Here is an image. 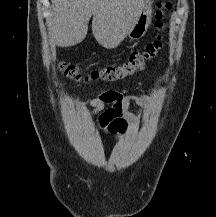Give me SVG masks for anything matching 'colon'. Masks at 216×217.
<instances>
[{
	"label": "colon",
	"instance_id": "5ec220e1",
	"mask_svg": "<svg viewBox=\"0 0 216 217\" xmlns=\"http://www.w3.org/2000/svg\"><path fill=\"white\" fill-rule=\"evenodd\" d=\"M171 3L168 0L159 1L155 13V26L158 29H163L169 17ZM163 48L162 37L158 36L153 42L149 43L144 49L132 52L129 58L118 65L107 66L90 73H82L75 65L61 61L59 63L60 71L68 78L77 81H95L104 80L109 82L122 81L142 70L147 63L155 60ZM124 123L120 122L117 127L112 130H117Z\"/></svg>",
	"mask_w": 216,
	"mask_h": 217
}]
</instances>
